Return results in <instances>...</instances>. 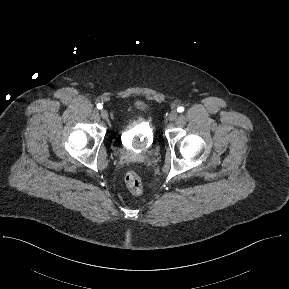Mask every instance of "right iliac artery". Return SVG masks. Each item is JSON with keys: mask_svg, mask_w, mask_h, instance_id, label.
<instances>
[{"mask_svg": "<svg viewBox=\"0 0 289 289\" xmlns=\"http://www.w3.org/2000/svg\"><path fill=\"white\" fill-rule=\"evenodd\" d=\"M97 108H98L99 110H101V109L103 108L102 104H101V103H98V104H97Z\"/></svg>", "mask_w": 289, "mask_h": 289, "instance_id": "obj_1", "label": "right iliac artery"}]
</instances>
